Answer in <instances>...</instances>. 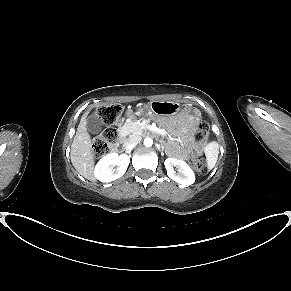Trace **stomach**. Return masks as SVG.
<instances>
[{
  "label": "stomach",
  "mask_w": 291,
  "mask_h": 291,
  "mask_svg": "<svg viewBox=\"0 0 291 291\" xmlns=\"http://www.w3.org/2000/svg\"><path fill=\"white\" fill-rule=\"evenodd\" d=\"M149 108L155 115L174 117L173 113L175 110L182 108L179 103L173 101H151L149 103Z\"/></svg>",
  "instance_id": "stomach-1"
}]
</instances>
